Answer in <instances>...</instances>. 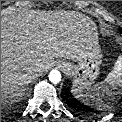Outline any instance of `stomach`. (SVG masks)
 Returning <instances> with one entry per match:
<instances>
[{
	"mask_svg": "<svg viewBox=\"0 0 122 122\" xmlns=\"http://www.w3.org/2000/svg\"><path fill=\"white\" fill-rule=\"evenodd\" d=\"M102 55L99 48L89 50L76 64L60 61L63 70L73 77V85L81 88L90 86L99 74Z\"/></svg>",
	"mask_w": 122,
	"mask_h": 122,
	"instance_id": "obj_1",
	"label": "stomach"
}]
</instances>
